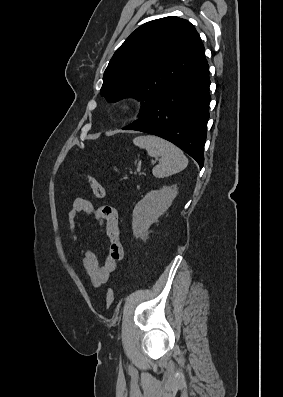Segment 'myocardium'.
<instances>
[{"label": "myocardium", "instance_id": "obj_1", "mask_svg": "<svg viewBox=\"0 0 283 397\" xmlns=\"http://www.w3.org/2000/svg\"><path fill=\"white\" fill-rule=\"evenodd\" d=\"M135 105L131 101L123 100L118 105L119 112L124 116H130L135 112Z\"/></svg>", "mask_w": 283, "mask_h": 397}]
</instances>
